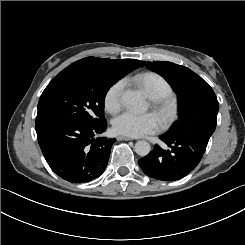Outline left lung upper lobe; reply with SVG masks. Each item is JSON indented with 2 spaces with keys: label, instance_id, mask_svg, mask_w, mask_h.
Masks as SVG:
<instances>
[{
  "label": "left lung upper lobe",
  "instance_id": "1",
  "mask_svg": "<svg viewBox=\"0 0 245 245\" xmlns=\"http://www.w3.org/2000/svg\"><path fill=\"white\" fill-rule=\"evenodd\" d=\"M143 63L148 69L161 75L178 94L182 118L172 129L184 124L188 116H196L211 105H219L210 85L189 68L164 61Z\"/></svg>",
  "mask_w": 245,
  "mask_h": 245
}]
</instances>
